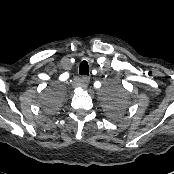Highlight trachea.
Here are the masks:
<instances>
[{
    "instance_id": "obj_1",
    "label": "trachea",
    "mask_w": 174,
    "mask_h": 174,
    "mask_svg": "<svg viewBox=\"0 0 174 174\" xmlns=\"http://www.w3.org/2000/svg\"><path fill=\"white\" fill-rule=\"evenodd\" d=\"M79 74L80 75H89V66L87 61H82L79 66Z\"/></svg>"
}]
</instances>
